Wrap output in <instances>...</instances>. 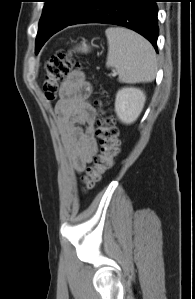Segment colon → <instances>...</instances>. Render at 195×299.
Listing matches in <instances>:
<instances>
[{"label": "colon", "mask_w": 195, "mask_h": 299, "mask_svg": "<svg viewBox=\"0 0 195 299\" xmlns=\"http://www.w3.org/2000/svg\"><path fill=\"white\" fill-rule=\"evenodd\" d=\"M76 65H78L77 60L67 51H58L48 59L43 76V90L47 99L56 98L60 85ZM95 104L98 107L102 106L100 100H96ZM97 136L100 153L95 157L93 166L88 167L82 177L84 190L92 189L102 180L114 166L115 158L119 153L116 122L114 117L105 111H102L98 120Z\"/></svg>", "instance_id": "colon-1"}]
</instances>
